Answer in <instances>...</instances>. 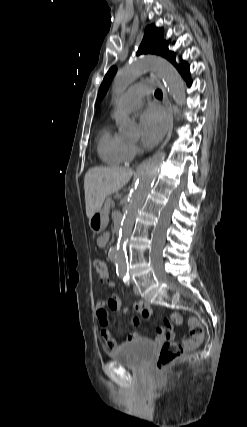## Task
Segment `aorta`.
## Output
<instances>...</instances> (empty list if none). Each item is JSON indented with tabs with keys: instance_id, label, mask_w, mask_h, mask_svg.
<instances>
[{
	"instance_id": "762f6f07",
	"label": "aorta",
	"mask_w": 247,
	"mask_h": 427,
	"mask_svg": "<svg viewBox=\"0 0 247 427\" xmlns=\"http://www.w3.org/2000/svg\"><path fill=\"white\" fill-rule=\"evenodd\" d=\"M149 70L154 71L163 80L168 92L173 96L177 104H185V88L178 71L166 61L153 56L135 58L128 65L121 68L112 83L113 96L115 98L120 97L138 76ZM116 122L119 125L121 134L124 136L136 134L137 125L127 115L118 113ZM165 157L164 152L157 154L141 170L121 222L117 244L109 250V257L115 262L116 269L120 274H125L127 271L126 243L132 232L135 219L145 202Z\"/></svg>"
}]
</instances>
